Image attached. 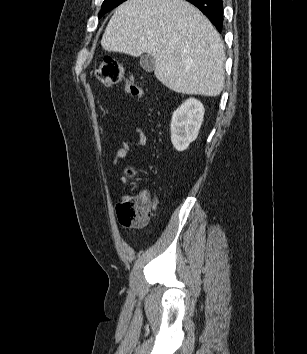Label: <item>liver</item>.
<instances>
[{
  "instance_id": "6515ba94",
  "label": "liver",
  "mask_w": 307,
  "mask_h": 354,
  "mask_svg": "<svg viewBox=\"0 0 307 354\" xmlns=\"http://www.w3.org/2000/svg\"><path fill=\"white\" fill-rule=\"evenodd\" d=\"M105 51L155 59V76L183 94L218 96L224 86V45L211 22L184 0H128L111 17Z\"/></svg>"
}]
</instances>
